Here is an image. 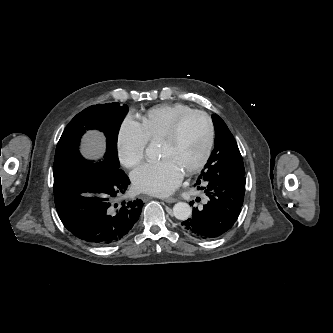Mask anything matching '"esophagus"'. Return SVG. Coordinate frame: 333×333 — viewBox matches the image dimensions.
Here are the masks:
<instances>
[{
	"instance_id": "34e87169",
	"label": "esophagus",
	"mask_w": 333,
	"mask_h": 333,
	"mask_svg": "<svg viewBox=\"0 0 333 333\" xmlns=\"http://www.w3.org/2000/svg\"><path fill=\"white\" fill-rule=\"evenodd\" d=\"M142 198L145 199V198H148V197H147L146 195H143ZM163 201H165V202H167V203H174V202L177 201V199H176V198L169 197V198H164Z\"/></svg>"
}]
</instances>
